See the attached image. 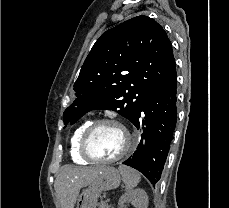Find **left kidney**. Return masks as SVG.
I'll return each instance as SVG.
<instances>
[{
    "label": "left kidney",
    "instance_id": "1",
    "mask_svg": "<svg viewBox=\"0 0 229 208\" xmlns=\"http://www.w3.org/2000/svg\"><path fill=\"white\" fill-rule=\"evenodd\" d=\"M135 204V208H148V196L144 190H131L123 194L119 200V208H125L124 204Z\"/></svg>",
    "mask_w": 229,
    "mask_h": 208
}]
</instances>
